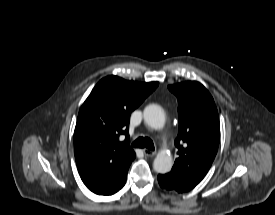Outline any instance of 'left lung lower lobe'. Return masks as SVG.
Returning <instances> with one entry per match:
<instances>
[{"label": "left lung lower lobe", "instance_id": "1", "mask_svg": "<svg viewBox=\"0 0 275 215\" xmlns=\"http://www.w3.org/2000/svg\"><path fill=\"white\" fill-rule=\"evenodd\" d=\"M158 182L166 190L184 193L193 189L200 181L172 169L167 174L158 175Z\"/></svg>", "mask_w": 275, "mask_h": 215}]
</instances>
